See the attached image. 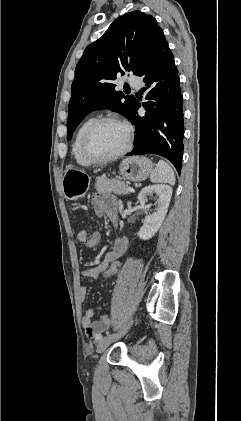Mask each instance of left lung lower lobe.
Instances as JSON below:
<instances>
[{
  "instance_id": "1",
  "label": "left lung lower lobe",
  "mask_w": 241,
  "mask_h": 421,
  "mask_svg": "<svg viewBox=\"0 0 241 421\" xmlns=\"http://www.w3.org/2000/svg\"><path fill=\"white\" fill-rule=\"evenodd\" d=\"M137 76L143 77L148 91L142 104L145 116H139L141 107L136 101L130 121L136 126L135 147L127 154H157L170 160L181 172L183 154V96L174 57L161 30L140 66Z\"/></svg>"
}]
</instances>
